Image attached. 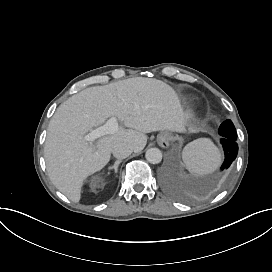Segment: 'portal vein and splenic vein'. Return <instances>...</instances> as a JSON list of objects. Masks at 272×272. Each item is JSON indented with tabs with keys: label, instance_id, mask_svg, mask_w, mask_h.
Instances as JSON below:
<instances>
[{
	"label": "portal vein and splenic vein",
	"instance_id": "obj_1",
	"mask_svg": "<svg viewBox=\"0 0 272 272\" xmlns=\"http://www.w3.org/2000/svg\"><path fill=\"white\" fill-rule=\"evenodd\" d=\"M118 130L119 126L116 117H111L103 126H100L85 135L84 139L92 144L96 139L104 135L114 134Z\"/></svg>",
	"mask_w": 272,
	"mask_h": 272
}]
</instances>
